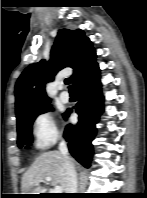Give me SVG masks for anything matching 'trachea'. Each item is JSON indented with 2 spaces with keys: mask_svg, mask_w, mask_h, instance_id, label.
<instances>
[{
  "mask_svg": "<svg viewBox=\"0 0 147 198\" xmlns=\"http://www.w3.org/2000/svg\"><path fill=\"white\" fill-rule=\"evenodd\" d=\"M71 80L69 78L65 79V84L68 85L70 91H74V88L70 85Z\"/></svg>",
  "mask_w": 147,
  "mask_h": 198,
  "instance_id": "obj_1",
  "label": "trachea"
}]
</instances>
